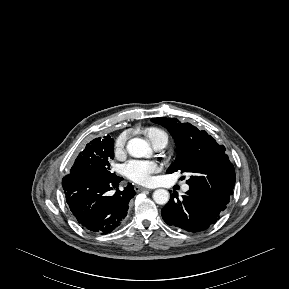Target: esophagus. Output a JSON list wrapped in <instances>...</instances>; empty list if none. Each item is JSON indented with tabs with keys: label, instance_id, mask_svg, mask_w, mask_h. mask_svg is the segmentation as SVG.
I'll list each match as a JSON object with an SVG mask.
<instances>
[{
	"label": "esophagus",
	"instance_id": "1",
	"mask_svg": "<svg viewBox=\"0 0 289 289\" xmlns=\"http://www.w3.org/2000/svg\"><path fill=\"white\" fill-rule=\"evenodd\" d=\"M134 190L137 191V192H140V191H150V189L148 188H145V187H142V186H134Z\"/></svg>",
	"mask_w": 289,
	"mask_h": 289
}]
</instances>
